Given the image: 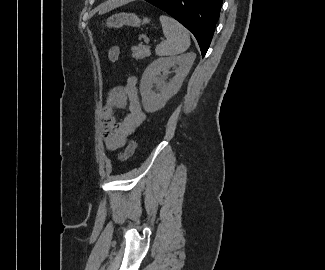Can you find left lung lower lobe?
<instances>
[{
  "label": "left lung lower lobe",
  "mask_w": 325,
  "mask_h": 270,
  "mask_svg": "<svg viewBox=\"0 0 325 270\" xmlns=\"http://www.w3.org/2000/svg\"><path fill=\"white\" fill-rule=\"evenodd\" d=\"M179 21L195 36L205 56L223 0H146Z\"/></svg>",
  "instance_id": "obj_1"
}]
</instances>
